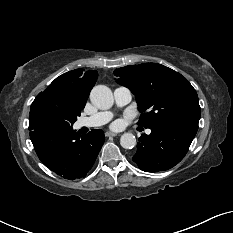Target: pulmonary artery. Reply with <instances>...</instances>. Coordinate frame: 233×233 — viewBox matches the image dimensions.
<instances>
[{
    "mask_svg": "<svg viewBox=\"0 0 233 233\" xmlns=\"http://www.w3.org/2000/svg\"><path fill=\"white\" fill-rule=\"evenodd\" d=\"M114 101L118 107H123L127 105L132 100V93L127 87H117L114 90ZM113 114L111 111H101L93 114L89 117L81 118L78 121L79 127H99L108 123ZM151 130H147V134H150Z\"/></svg>",
    "mask_w": 233,
    "mask_h": 233,
    "instance_id": "obj_1",
    "label": "pulmonary artery"
}]
</instances>
